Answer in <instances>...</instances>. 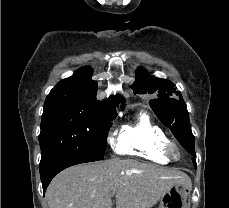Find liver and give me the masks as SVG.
<instances>
[{"instance_id":"liver-1","label":"liver","mask_w":229,"mask_h":208,"mask_svg":"<svg viewBox=\"0 0 229 208\" xmlns=\"http://www.w3.org/2000/svg\"><path fill=\"white\" fill-rule=\"evenodd\" d=\"M175 184L192 186L179 168L114 158L67 168L48 186L46 200L49 208H112L116 194L117 208H152Z\"/></svg>"}]
</instances>
